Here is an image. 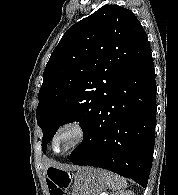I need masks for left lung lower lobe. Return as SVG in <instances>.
<instances>
[{
    "mask_svg": "<svg viewBox=\"0 0 178 195\" xmlns=\"http://www.w3.org/2000/svg\"><path fill=\"white\" fill-rule=\"evenodd\" d=\"M156 109L150 52L114 86L69 160L75 165L113 171L146 187L152 167Z\"/></svg>",
    "mask_w": 178,
    "mask_h": 195,
    "instance_id": "1",
    "label": "left lung lower lobe"
}]
</instances>
